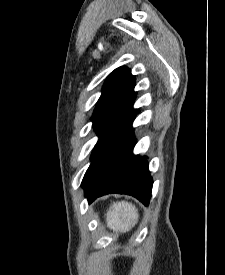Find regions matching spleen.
I'll return each instance as SVG.
<instances>
[{
	"mask_svg": "<svg viewBox=\"0 0 225 275\" xmlns=\"http://www.w3.org/2000/svg\"><path fill=\"white\" fill-rule=\"evenodd\" d=\"M105 216L108 228L123 233L131 230L139 219L138 209L126 201L114 202Z\"/></svg>",
	"mask_w": 225,
	"mask_h": 275,
	"instance_id": "obj_1",
	"label": "spleen"
}]
</instances>
